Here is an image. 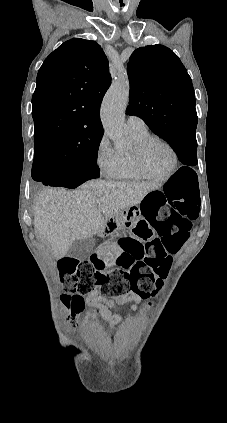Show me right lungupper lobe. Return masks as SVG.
<instances>
[{
  "instance_id": "right-lung-upper-lobe-1",
  "label": "right lung upper lobe",
  "mask_w": 227,
  "mask_h": 423,
  "mask_svg": "<svg viewBox=\"0 0 227 423\" xmlns=\"http://www.w3.org/2000/svg\"><path fill=\"white\" fill-rule=\"evenodd\" d=\"M110 84L108 60L95 41L76 38L59 46L37 75L35 148L103 134L99 108Z\"/></svg>"
}]
</instances>
